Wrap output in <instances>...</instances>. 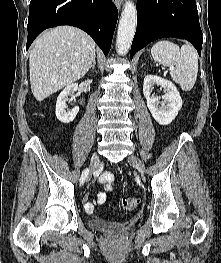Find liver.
Segmentation results:
<instances>
[{
	"label": "liver",
	"instance_id": "1",
	"mask_svg": "<svg viewBox=\"0 0 221 263\" xmlns=\"http://www.w3.org/2000/svg\"><path fill=\"white\" fill-rule=\"evenodd\" d=\"M95 60V43L84 31L59 26L34 42L29 56L31 91L42 101L84 77Z\"/></svg>",
	"mask_w": 221,
	"mask_h": 263
}]
</instances>
